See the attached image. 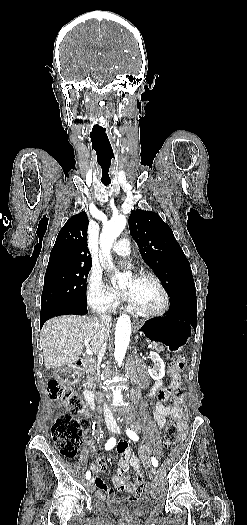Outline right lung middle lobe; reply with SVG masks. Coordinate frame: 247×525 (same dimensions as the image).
Segmentation results:
<instances>
[{"mask_svg":"<svg viewBox=\"0 0 247 525\" xmlns=\"http://www.w3.org/2000/svg\"><path fill=\"white\" fill-rule=\"evenodd\" d=\"M90 268L46 271L41 298V316L49 315L55 306L86 304L85 288Z\"/></svg>","mask_w":247,"mask_h":525,"instance_id":"obj_1","label":"right lung middle lobe"}]
</instances>
